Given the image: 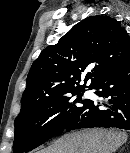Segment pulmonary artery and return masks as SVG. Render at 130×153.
I'll list each match as a JSON object with an SVG mask.
<instances>
[{"label": "pulmonary artery", "instance_id": "obj_1", "mask_svg": "<svg viewBox=\"0 0 130 153\" xmlns=\"http://www.w3.org/2000/svg\"><path fill=\"white\" fill-rule=\"evenodd\" d=\"M86 97H90L91 96V94L89 93V92H86Z\"/></svg>", "mask_w": 130, "mask_h": 153}]
</instances>
